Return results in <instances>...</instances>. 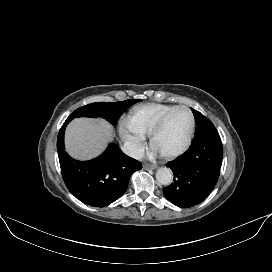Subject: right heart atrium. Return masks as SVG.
<instances>
[{
	"label": "right heart atrium",
	"mask_w": 272,
	"mask_h": 272,
	"mask_svg": "<svg viewBox=\"0 0 272 272\" xmlns=\"http://www.w3.org/2000/svg\"><path fill=\"white\" fill-rule=\"evenodd\" d=\"M120 135L129 154L139 157L144 148L145 137L134 132L125 124L120 126Z\"/></svg>",
	"instance_id": "1"
}]
</instances>
